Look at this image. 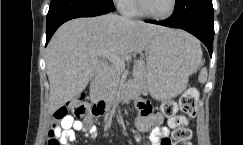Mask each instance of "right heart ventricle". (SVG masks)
<instances>
[{"instance_id": "obj_1", "label": "right heart ventricle", "mask_w": 243, "mask_h": 145, "mask_svg": "<svg viewBox=\"0 0 243 145\" xmlns=\"http://www.w3.org/2000/svg\"><path fill=\"white\" fill-rule=\"evenodd\" d=\"M122 10L123 13L127 16H136L139 14L137 12L134 0H130L129 3Z\"/></svg>"}]
</instances>
